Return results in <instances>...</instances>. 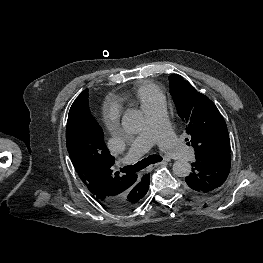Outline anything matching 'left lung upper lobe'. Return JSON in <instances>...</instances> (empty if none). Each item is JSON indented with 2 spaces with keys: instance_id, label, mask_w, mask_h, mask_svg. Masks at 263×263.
Wrapping results in <instances>:
<instances>
[{
  "instance_id": "5c2ea615",
  "label": "left lung upper lobe",
  "mask_w": 263,
  "mask_h": 263,
  "mask_svg": "<svg viewBox=\"0 0 263 263\" xmlns=\"http://www.w3.org/2000/svg\"><path fill=\"white\" fill-rule=\"evenodd\" d=\"M169 81L171 96L178 115L186 124L196 158L230 155L227 126L214 103L180 75H171Z\"/></svg>"
}]
</instances>
